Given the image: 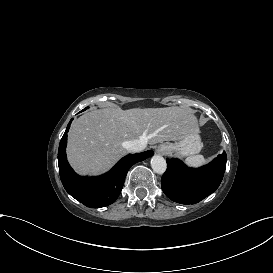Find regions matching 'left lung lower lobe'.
Listing matches in <instances>:
<instances>
[{"mask_svg": "<svg viewBox=\"0 0 273 273\" xmlns=\"http://www.w3.org/2000/svg\"><path fill=\"white\" fill-rule=\"evenodd\" d=\"M226 153L198 169L185 166L178 159H167L168 168L161 178L165 195L180 204H195L220 185L226 167Z\"/></svg>", "mask_w": 273, "mask_h": 273, "instance_id": "0a47b994", "label": "left lung lower lobe"}]
</instances>
